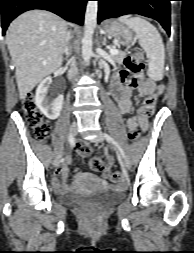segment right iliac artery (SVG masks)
Instances as JSON below:
<instances>
[{"label": "right iliac artery", "instance_id": "1", "mask_svg": "<svg viewBox=\"0 0 194 253\" xmlns=\"http://www.w3.org/2000/svg\"><path fill=\"white\" fill-rule=\"evenodd\" d=\"M68 141L71 145H73L74 144V137L70 135L68 138ZM63 161H64V159H61V162H63Z\"/></svg>", "mask_w": 194, "mask_h": 253}]
</instances>
